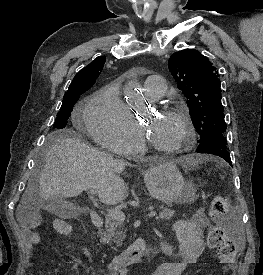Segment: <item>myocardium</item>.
<instances>
[{"label":"myocardium","mask_w":263,"mask_h":275,"mask_svg":"<svg viewBox=\"0 0 263 275\" xmlns=\"http://www.w3.org/2000/svg\"><path fill=\"white\" fill-rule=\"evenodd\" d=\"M161 114L172 116L180 121L184 128V135L180 142L174 147H161L154 144L145 133V142L149 148L163 155H173L192 147L195 139V128L190 117L183 111L176 108H168L161 111Z\"/></svg>","instance_id":"1"}]
</instances>
